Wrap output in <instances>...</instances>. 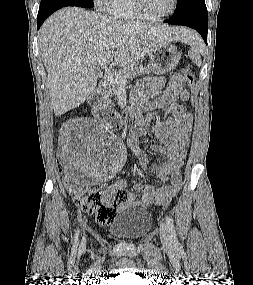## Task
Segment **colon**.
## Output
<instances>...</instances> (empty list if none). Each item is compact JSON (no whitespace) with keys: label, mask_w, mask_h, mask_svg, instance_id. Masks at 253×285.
<instances>
[{"label":"colon","mask_w":253,"mask_h":285,"mask_svg":"<svg viewBox=\"0 0 253 285\" xmlns=\"http://www.w3.org/2000/svg\"><path fill=\"white\" fill-rule=\"evenodd\" d=\"M182 76L189 87L195 84V75L189 69L182 70ZM68 144L62 143L58 154L57 172H65L61 175V180H66L69 194L74 203L84 212L94 214L98 222L107 224L113 220L116 214L117 206L125 202L128 193L124 188L109 187L105 189L87 188L74 182L70 172L66 171V154Z\"/></svg>","instance_id":"1"}]
</instances>
